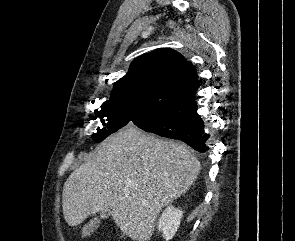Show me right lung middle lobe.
<instances>
[{"instance_id": "obj_1", "label": "right lung middle lobe", "mask_w": 295, "mask_h": 241, "mask_svg": "<svg viewBox=\"0 0 295 241\" xmlns=\"http://www.w3.org/2000/svg\"><path fill=\"white\" fill-rule=\"evenodd\" d=\"M101 119V127L92 135L95 142H101L109 135L117 132L128 124L139 128L158 120L164 112L143 107L133 102L111 99L104 102L101 109L96 110Z\"/></svg>"}]
</instances>
